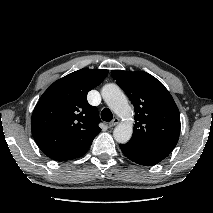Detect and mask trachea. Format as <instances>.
<instances>
[{
  "instance_id": "1",
  "label": "trachea",
  "mask_w": 213,
  "mask_h": 213,
  "mask_svg": "<svg viewBox=\"0 0 213 213\" xmlns=\"http://www.w3.org/2000/svg\"><path fill=\"white\" fill-rule=\"evenodd\" d=\"M101 118H102V120H104L106 122L111 121L113 119V114L110 111V109L104 108L101 112Z\"/></svg>"
}]
</instances>
